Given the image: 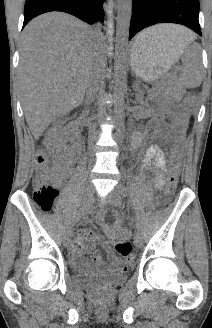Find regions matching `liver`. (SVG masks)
Listing matches in <instances>:
<instances>
[{
	"label": "liver",
	"mask_w": 212,
	"mask_h": 328,
	"mask_svg": "<svg viewBox=\"0 0 212 328\" xmlns=\"http://www.w3.org/2000/svg\"><path fill=\"white\" fill-rule=\"evenodd\" d=\"M145 38L184 47L195 35L184 27L165 24L146 29ZM97 47L93 28L65 13L40 15L25 27L18 76L25 119L35 139L57 117L82 103Z\"/></svg>",
	"instance_id": "6515ba94"
}]
</instances>
